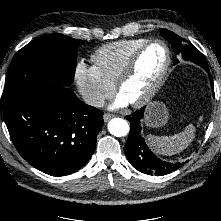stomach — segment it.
Masks as SVG:
<instances>
[{
  "label": "stomach",
  "instance_id": "0dacf381",
  "mask_svg": "<svg viewBox=\"0 0 221 221\" xmlns=\"http://www.w3.org/2000/svg\"><path fill=\"white\" fill-rule=\"evenodd\" d=\"M169 118L168 110L162 102H150L143 119L147 127L157 128L164 126Z\"/></svg>",
  "mask_w": 221,
  "mask_h": 221
}]
</instances>
